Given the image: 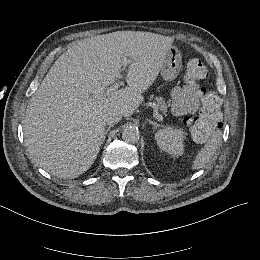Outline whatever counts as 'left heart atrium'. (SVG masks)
Instances as JSON below:
<instances>
[{"mask_svg": "<svg viewBox=\"0 0 260 260\" xmlns=\"http://www.w3.org/2000/svg\"><path fill=\"white\" fill-rule=\"evenodd\" d=\"M119 113L113 106H105L102 108L95 109L91 112V119L98 123L113 122L117 120Z\"/></svg>", "mask_w": 260, "mask_h": 260, "instance_id": "left-heart-atrium-1", "label": "left heart atrium"}]
</instances>
